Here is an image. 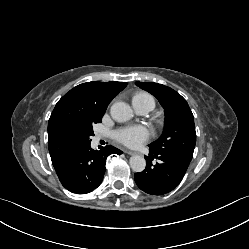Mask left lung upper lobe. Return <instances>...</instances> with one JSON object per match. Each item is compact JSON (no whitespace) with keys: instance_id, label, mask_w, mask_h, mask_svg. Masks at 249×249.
<instances>
[{"instance_id":"obj_1","label":"left lung upper lobe","mask_w":249,"mask_h":249,"mask_svg":"<svg viewBox=\"0 0 249 249\" xmlns=\"http://www.w3.org/2000/svg\"><path fill=\"white\" fill-rule=\"evenodd\" d=\"M140 88L154 95L165 111L164 132L149 145L159 153L177 154L192 159L196 132L194 116L186 100L175 90L153 82H136Z\"/></svg>"}]
</instances>
